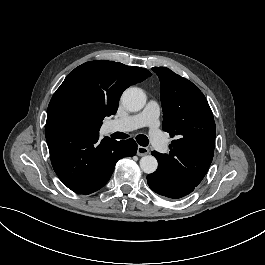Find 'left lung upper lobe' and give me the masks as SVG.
Instances as JSON below:
<instances>
[{"instance_id": "left-lung-upper-lobe-1", "label": "left lung upper lobe", "mask_w": 265, "mask_h": 265, "mask_svg": "<svg viewBox=\"0 0 265 265\" xmlns=\"http://www.w3.org/2000/svg\"><path fill=\"white\" fill-rule=\"evenodd\" d=\"M152 70L161 82L163 130L176 140L169 154L153 151L162 162L194 184L205 177L214 155L216 126L208 102L192 82L165 67Z\"/></svg>"}]
</instances>
